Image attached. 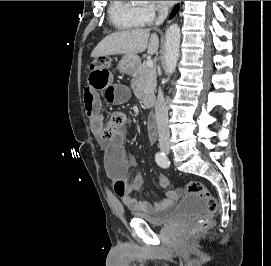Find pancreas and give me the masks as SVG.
Returning <instances> with one entry per match:
<instances>
[{"label":"pancreas","instance_id":"cf45deb5","mask_svg":"<svg viewBox=\"0 0 271 266\" xmlns=\"http://www.w3.org/2000/svg\"><path fill=\"white\" fill-rule=\"evenodd\" d=\"M131 87L139 99L152 94L156 88V68L148 67L147 62L139 64L133 72Z\"/></svg>","mask_w":271,"mask_h":266}]
</instances>
